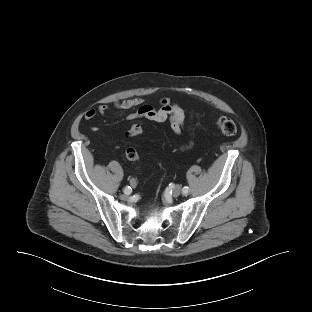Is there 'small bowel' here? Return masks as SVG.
<instances>
[{
  "instance_id": "c3829d8e",
  "label": "small bowel",
  "mask_w": 312,
  "mask_h": 312,
  "mask_svg": "<svg viewBox=\"0 0 312 312\" xmlns=\"http://www.w3.org/2000/svg\"><path fill=\"white\" fill-rule=\"evenodd\" d=\"M112 107L117 111L136 109L133 113L127 116L129 121L136 120L138 118H145L153 122H164L169 120L170 127L176 134H181L185 128L187 112L181 106L173 102L169 96H163L160 98L158 108L146 104L144 99L140 97L116 101L112 104ZM108 110V105H101L97 110H87L84 114V118L90 121L98 114L102 115ZM190 146L191 142L185 145V148Z\"/></svg>"
}]
</instances>
